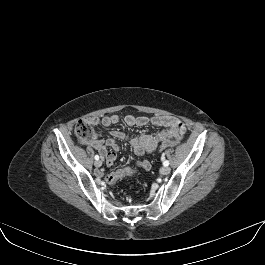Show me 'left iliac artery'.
Segmentation results:
<instances>
[{"mask_svg":"<svg viewBox=\"0 0 265 265\" xmlns=\"http://www.w3.org/2000/svg\"><path fill=\"white\" fill-rule=\"evenodd\" d=\"M162 159H164V157H162ZM163 165H164V166H168V165H169V161L165 160V161L163 162Z\"/></svg>","mask_w":265,"mask_h":265,"instance_id":"44dca946","label":"left iliac artery"}]
</instances>
